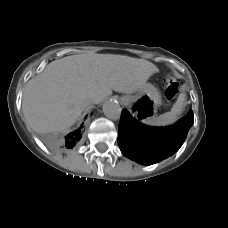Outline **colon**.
<instances>
[{"instance_id":"colon-1","label":"colon","mask_w":228,"mask_h":228,"mask_svg":"<svg viewBox=\"0 0 228 228\" xmlns=\"http://www.w3.org/2000/svg\"><path fill=\"white\" fill-rule=\"evenodd\" d=\"M179 91V86L177 82L171 77L167 76L165 78V96L167 99L171 100L176 97Z\"/></svg>"}]
</instances>
